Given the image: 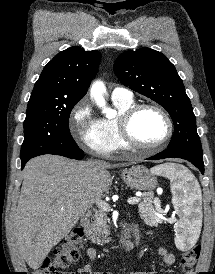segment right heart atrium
<instances>
[{
  "mask_svg": "<svg viewBox=\"0 0 215 274\" xmlns=\"http://www.w3.org/2000/svg\"><path fill=\"white\" fill-rule=\"evenodd\" d=\"M70 133L74 140L89 153L108 156L111 146L99 126L88 100L79 101L72 109L69 121Z\"/></svg>",
  "mask_w": 215,
  "mask_h": 274,
  "instance_id": "d8ad5b80",
  "label": "right heart atrium"
}]
</instances>
